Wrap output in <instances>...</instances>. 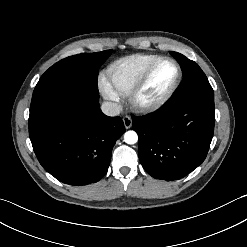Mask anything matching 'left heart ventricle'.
<instances>
[{
    "mask_svg": "<svg viewBox=\"0 0 247 247\" xmlns=\"http://www.w3.org/2000/svg\"><path fill=\"white\" fill-rule=\"evenodd\" d=\"M176 75L177 70L172 62H161L150 75L140 97L143 100H151L162 95L171 87Z\"/></svg>",
    "mask_w": 247,
    "mask_h": 247,
    "instance_id": "obj_1",
    "label": "left heart ventricle"
}]
</instances>
